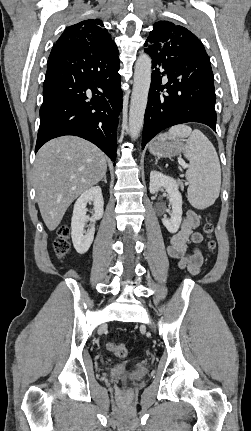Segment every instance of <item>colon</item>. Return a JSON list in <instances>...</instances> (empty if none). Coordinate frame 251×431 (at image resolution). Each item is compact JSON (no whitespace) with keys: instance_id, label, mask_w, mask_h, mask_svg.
<instances>
[{"instance_id":"1","label":"colon","mask_w":251,"mask_h":431,"mask_svg":"<svg viewBox=\"0 0 251 431\" xmlns=\"http://www.w3.org/2000/svg\"><path fill=\"white\" fill-rule=\"evenodd\" d=\"M204 233L208 237V248L213 250L215 248V241L212 239L211 235L213 232V225L211 223H206L204 225ZM69 228L66 225H62L58 228L57 239L54 242V250L57 256L62 257L69 251ZM107 349L116 357L123 358L127 354L126 346L121 342H109L107 344Z\"/></svg>"}]
</instances>
